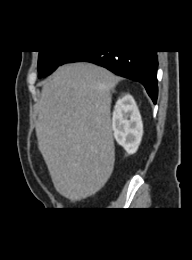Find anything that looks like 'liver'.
<instances>
[{
    "label": "liver",
    "instance_id": "6515ba94",
    "mask_svg": "<svg viewBox=\"0 0 192 260\" xmlns=\"http://www.w3.org/2000/svg\"><path fill=\"white\" fill-rule=\"evenodd\" d=\"M119 81L92 63L63 65L37 103L38 148L57 192L72 201L98 192L112 174L111 89Z\"/></svg>",
    "mask_w": 192,
    "mask_h": 260
}]
</instances>
